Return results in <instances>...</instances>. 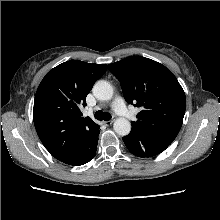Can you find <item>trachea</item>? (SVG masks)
Segmentation results:
<instances>
[{
	"label": "trachea",
	"mask_w": 220,
	"mask_h": 220,
	"mask_svg": "<svg viewBox=\"0 0 220 220\" xmlns=\"http://www.w3.org/2000/svg\"><path fill=\"white\" fill-rule=\"evenodd\" d=\"M95 118L97 120H104V121H108L111 119V115L107 112H102V111H97L95 113Z\"/></svg>",
	"instance_id": "obj_1"
}]
</instances>
